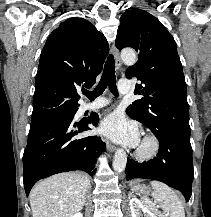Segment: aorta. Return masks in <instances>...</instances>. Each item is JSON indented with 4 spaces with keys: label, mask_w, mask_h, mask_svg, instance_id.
<instances>
[{
    "label": "aorta",
    "mask_w": 211,
    "mask_h": 217,
    "mask_svg": "<svg viewBox=\"0 0 211 217\" xmlns=\"http://www.w3.org/2000/svg\"><path fill=\"white\" fill-rule=\"evenodd\" d=\"M121 59L124 63L132 65L136 62L137 57L133 50L125 49L121 52ZM127 163V154L123 149H117L113 160V169L116 172L124 171Z\"/></svg>",
    "instance_id": "762f6f07"
}]
</instances>
